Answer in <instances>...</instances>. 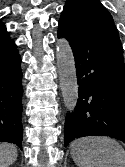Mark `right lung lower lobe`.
I'll use <instances>...</instances> for the list:
<instances>
[{"label": "right lung lower lobe", "instance_id": "98d812e1", "mask_svg": "<svg viewBox=\"0 0 125 167\" xmlns=\"http://www.w3.org/2000/svg\"><path fill=\"white\" fill-rule=\"evenodd\" d=\"M21 58L5 26L0 28V141L22 148Z\"/></svg>", "mask_w": 125, "mask_h": 167}]
</instances>
